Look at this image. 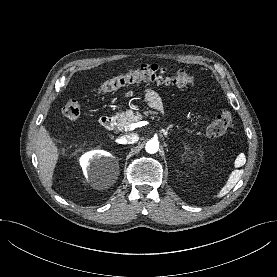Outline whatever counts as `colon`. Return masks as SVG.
I'll return each mask as SVG.
<instances>
[{
  "label": "colon",
  "mask_w": 277,
  "mask_h": 277,
  "mask_svg": "<svg viewBox=\"0 0 277 277\" xmlns=\"http://www.w3.org/2000/svg\"><path fill=\"white\" fill-rule=\"evenodd\" d=\"M141 82L187 87L194 85L195 77L183 70L173 72L159 65H146L108 79L101 84L99 92H110L126 85ZM62 113L69 120L78 119L81 113L80 103L75 99L69 100L63 107ZM232 125V114L227 109L221 108L215 119L205 127L204 133L208 137L222 136L230 131Z\"/></svg>",
  "instance_id": "obj_1"
}]
</instances>
